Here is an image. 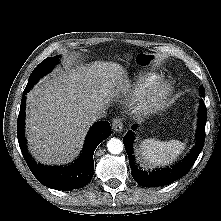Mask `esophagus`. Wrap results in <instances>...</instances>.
<instances>
[{"label": "esophagus", "mask_w": 221, "mask_h": 221, "mask_svg": "<svg viewBox=\"0 0 221 221\" xmlns=\"http://www.w3.org/2000/svg\"><path fill=\"white\" fill-rule=\"evenodd\" d=\"M112 128L115 132H121L123 129V123L120 118H114L112 121Z\"/></svg>", "instance_id": "1"}]
</instances>
